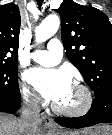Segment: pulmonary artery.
Returning <instances> with one entry per match:
<instances>
[{
	"mask_svg": "<svg viewBox=\"0 0 112 135\" xmlns=\"http://www.w3.org/2000/svg\"><path fill=\"white\" fill-rule=\"evenodd\" d=\"M62 55V43L58 39H51L48 42L46 49L33 52L31 58L41 65L54 66L61 61Z\"/></svg>",
	"mask_w": 112,
	"mask_h": 135,
	"instance_id": "obj_1",
	"label": "pulmonary artery"
}]
</instances>
